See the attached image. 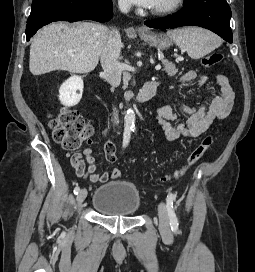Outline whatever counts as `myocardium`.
<instances>
[{
	"label": "myocardium",
	"instance_id": "myocardium-1",
	"mask_svg": "<svg viewBox=\"0 0 255 272\" xmlns=\"http://www.w3.org/2000/svg\"><path fill=\"white\" fill-rule=\"evenodd\" d=\"M183 3H184V0H171L168 4L160 8L152 9L151 14L157 15V16L168 15L178 10L182 6Z\"/></svg>",
	"mask_w": 255,
	"mask_h": 272
}]
</instances>
